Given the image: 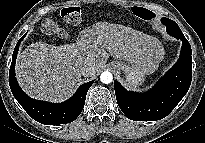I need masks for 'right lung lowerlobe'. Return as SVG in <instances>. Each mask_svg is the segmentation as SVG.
<instances>
[{"mask_svg":"<svg viewBox=\"0 0 205 143\" xmlns=\"http://www.w3.org/2000/svg\"><path fill=\"white\" fill-rule=\"evenodd\" d=\"M25 35L15 46L9 71V85L14 97L30 117L44 125H58L74 121L83 110L87 91L94 80L81 85L76 93L63 103L54 104L30 98L21 90L15 77V60L19 45Z\"/></svg>","mask_w":205,"mask_h":143,"instance_id":"98d812e1","label":"right lung lower lobe"}]
</instances>
